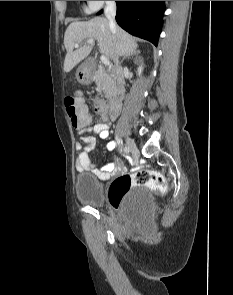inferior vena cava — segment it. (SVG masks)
<instances>
[{
    "label": "inferior vena cava",
    "mask_w": 233,
    "mask_h": 295,
    "mask_svg": "<svg viewBox=\"0 0 233 295\" xmlns=\"http://www.w3.org/2000/svg\"><path fill=\"white\" fill-rule=\"evenodd\" d=\"M105 16L109 22V27L112 31L116 30V22H115V16H116V3L115 1H106V7H105ZM116 65H119L120 62L118 60V57L114 59Z\"/></svg>",
    "instance_id": "602c4592"
}]
</instances>
